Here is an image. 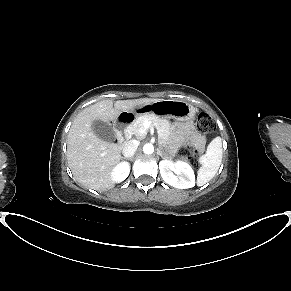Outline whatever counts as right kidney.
Segmentation results:
<instances>
[{
  "label": "right kidney",
  "instance_id": "obj_1",
  "mask_svg": "<svg viewBox=\"0 0 291 291\" xmlns=\"http://www.w3.org/2000/svg\"><path fill=\"white\" fill-rule=\"evenodd\" d=\"M130 173V164L120 162L111 171V178L114 182L119 183L124 181Z\"/></svg>",
  "mask_w": 291,
  "mask_h": 291
}]
</instances>
